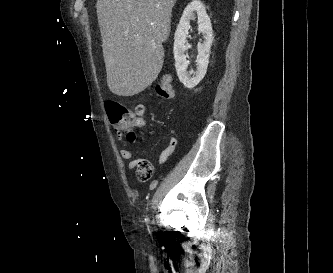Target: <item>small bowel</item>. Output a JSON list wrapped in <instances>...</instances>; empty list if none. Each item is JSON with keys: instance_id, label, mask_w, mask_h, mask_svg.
Masks as SVG:
<instances>
[{"instance_id": "obj_1", "label": "small bowel", "mask_w": 333, "mask_h": 273, "mask_svg": "<svg viewBox=\"0 0 333 273\" xmlns=\"http://www.w3.org/2000/svg\"><path fill=\"white\" fill-rule=\"evenodd\" d=\"M132 111L135 113V122L139 123V127H142L148 122V112L145 111V105L142 100H135ZM178 145V140L175 136H171L167 146L159 154L156 163L163 164L168 158L174 153ZM120 156L122 159L128 161V167L134 169L136 167L138 159L134 158V154L131 150L127 148H122L120 150Z\"/></svg>"}]
</instances>
